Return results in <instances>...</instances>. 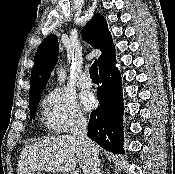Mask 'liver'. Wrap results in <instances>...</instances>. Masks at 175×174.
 Wrapping results in <instances>:
<instances>
[{
	"label": "liver",
	"instance_id": "obj_1",
	"mask_svg": "<svg viewBox=\"0 0 175 174\" xmlns=\"http://www.w3.org/2000/svg\"><path fill=\"white\" fill-rule=\"evenodd\" d=\"M77 163L83 173L88 174L90 156L84 145L71 135L54 136L23 147L17 174L33 170L68 173Z\"/></svg>",
	"mask_w": 175,
	"mask_h": 174
}]
</instances>
